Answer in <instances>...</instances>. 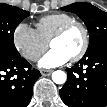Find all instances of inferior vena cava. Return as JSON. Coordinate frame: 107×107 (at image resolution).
<instances>
[{
  "mask_svg": "<svg viewBox=\"0 0 107 107\" xmlns=\"http://www.w3.org/2000/svg\"><path fill=\"white\" fill-rule=\"evenodd\" d=\"M35 58H36V59H38V58H39V56H36Z\"/></svg>",
  "mask_w": 107,
  "mask_h": 107,
  "instance_id": "inferior-vena-cava-1",
  "label": "inferior vena cava"
}]
</instances>
